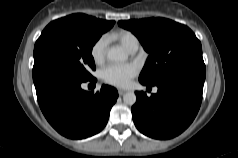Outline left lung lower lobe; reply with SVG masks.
<instances>
[{
  "label": "left lung lower lobe",
  "instance_id": "left-lung-lower-lobe-1",
  "mask_svg": "<svg viewBox=\"0 0 238 158\" xmlns=\"http://www.w3.org/2000/svg\"><path fill=\"white\" fill-rule=\"evenodd\" d=\"M205 74L203 67L188 68L157 82L158 92L151 97L136 92L132 117L137 129L156 139H170L182 133L200 108Z\"/></svg>",
  "mask_w": 238,
  "mask_h": 158
}]
</instances>
